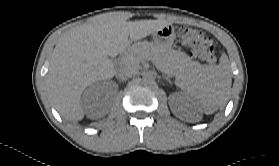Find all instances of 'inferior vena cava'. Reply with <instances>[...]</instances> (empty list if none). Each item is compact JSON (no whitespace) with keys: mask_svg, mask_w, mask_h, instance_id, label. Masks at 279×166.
<instances>
[{"mask_svg":"<svg viewBox=\"0 0 279 166\" xmlns=\"http://www.w3.org/2000/svg\"><path fill=\"white\" fill-rule=\"evenodd\" d=\"M135 74H136L135 69L124 67L118 72L117 77L118 79L124 81L127 80L128 78L135 76Z\"/></svg>","mask_w":279,"mask_h":166,"instance_id":"obj_1","label":"inferior vena cava"}]
</instances>
